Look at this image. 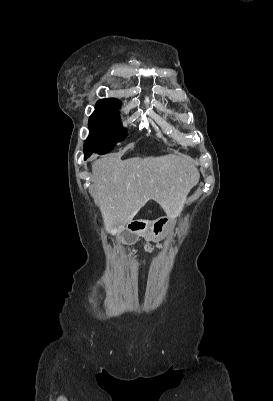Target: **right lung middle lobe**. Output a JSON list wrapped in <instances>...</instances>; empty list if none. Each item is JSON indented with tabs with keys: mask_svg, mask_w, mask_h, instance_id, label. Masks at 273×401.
Wrapping results in <instances>:
<instances>
[{
	"mask_svg": "<svg viewBox=\"0 0 273 401\" xmlns=\"http://www.w3.org/2000/svg\"><path fill=\"white\" fill-rule=\"evenodd\" d=\"M118 109L116 106L96 105L95 112L89 118L90 134L84 143L85 157L92 153L105 154L126 138L120 126Z\"/></svg>",
	"mask_w": 273,
	"mask_h": 401,
	"instance_id": "obj_1",
	"label": "right lung middle lobe"
}]
</instances>
